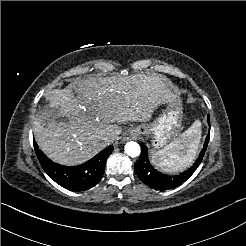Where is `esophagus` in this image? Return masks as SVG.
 <instances>
[{"mask_svg": "<svg viewBox=\"0 0 246 246\" xmlns=\"http://www.w3.org/2000/svg\"><path fill=\"white\" fill-rule=\"evenodd\" d=\"M131 136H132V139H135V137L133 136L132 132H131Z\"/></svg>", "mask_w": 246, "mask_h": 246, "instance_id": "1", "label": "esophagus"}]
</instances>
